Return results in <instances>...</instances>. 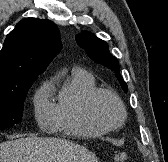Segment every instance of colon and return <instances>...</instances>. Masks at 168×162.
I'll return each mask as SVG.
<instances>
[{"label":"colon","instance_id":"obj_1","mask_svg":"<svg viewBox=\"0 0 168 162\" xmlns=\"http://www.w3.org/2000/svg\"><path fill=\"white\" fill-rule=\"evenodd\" d=\"M114 160L116 162H127V156L126 154L119 153L115 155Z\"/></svg>","mask_w":168,"mask_h":162}]
</instances>
